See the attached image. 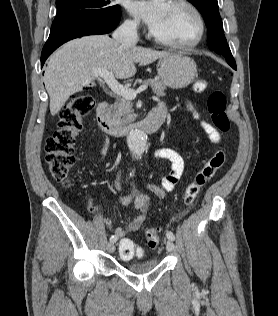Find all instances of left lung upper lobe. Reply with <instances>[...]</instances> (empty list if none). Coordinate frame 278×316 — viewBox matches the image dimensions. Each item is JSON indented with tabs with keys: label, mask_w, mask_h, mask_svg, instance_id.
Instances as JSON below:
<instances>
[{
	"label": "left lung upper lobe",
	"mask_w": 278,
	"mask_h": 316,
	"mask_svg": "<svg viewBox=\"0 0 278 316\" xmlns=\"http://www.w3.org/2000/svg\"><path fill=\"white\" fill-rule=\"evenodd\" d=\"M202 14L208 28V46L211 50L223 55L228 64L236 69V62L231 54L223 33V23L218 10L217 0H188Z\"/></svg>",
	"instance_id": "5c2ea615"
}]
</instances>
